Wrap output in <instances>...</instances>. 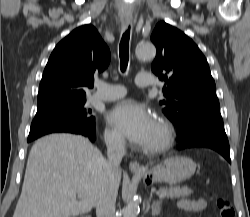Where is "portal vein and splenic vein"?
I'll list each match as a JSON object with an SVG mask.
<instances>
[{"label": "portal vein and splenic vein", "mask_w": 250, "mask_h": 217, "mask_svg": "<svg viewBox=\"0 0 250 217\" xmlns=\"http://www.w3.org/2000/svg\"><path fill=\"white\" fill-rule=\"evenodd\" d=\"M158 196H159L160 198H163L164 196H166V193H158Z\"/></svg>", "instance_id": "18ae733b"}]
</instances>
